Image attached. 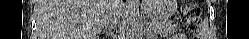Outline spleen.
I'll use <instances>...</instances> for the list:
<instances>
[{
	"mask_svg": "<svg viewBox=\"0 0 249 39\" xmlns=\"http://www.w3.org/2000/svg\"><path fill=\"white\" fill-rule=\"evenodd\" d=\"M208 23H207V19H204L203 23H202V30H201V36H206V34H208Z\"/></svg>",
	"mask_w": 249,
	"mask_h": 39,
	"instance_id": "spleen-1",
	"label": "spleen"
}]
</instances>
